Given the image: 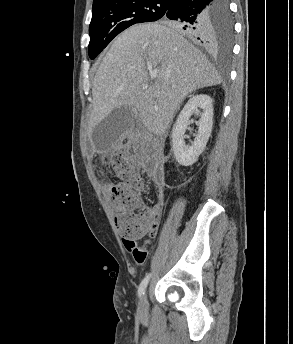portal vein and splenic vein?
<instances>
[{"instance_id":"portal-vein-and-splenic-vein-1","label":"portal vein and splenic vein","mask_w":293,"mask_h":344,"mask_svg":"<svg viewBox=\"0 0 293 344\" xmlns=\"http://www.w3.org/2000/svg\"><path fill=\"white\" fill-rule=\"evenodd\" d=\"M151 76H153V77H154V74L152 73V74H151Z\"/></svg>"}]
</instances>
